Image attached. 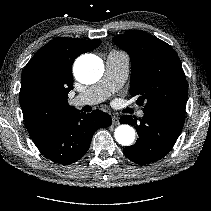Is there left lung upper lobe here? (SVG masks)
<instances>
[{"instance_id": "obj_1", "label": "left lung upper lobe", "mask_w": 211, "mask_h": 211, "mask_svg": "<svg viewBox=\"0 0 211 211\" xmlns=\"http://www.w3.org/2000/svg\"><path fill=\"white\" fill-rule=\"evenodd\" d=\"M113 42L131 60L130 94L144 109L159 105H186L188 87L174 49L151 34L136 30L115 36Z\"/></svg>"}]
</instances>
